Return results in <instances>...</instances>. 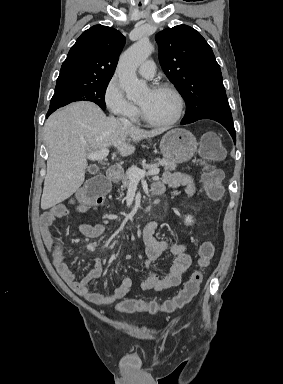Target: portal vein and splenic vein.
I'll return each mask as SVG.
<instances>
[{
    "instance_id": "18ae733b",
    "label": "portal vein and splenic vein",
    "mask_w": 283,
    "mask_h": 384,
    "mask_svg": "<svg viewBox=\"0 0 283 384\" xmlns=\"http://www.w3.org/2000/svg\"><path fill=\"white\" fill-rule=\"evenodd\" d=\"M109 154L108 148H103V150H97V152H91V154H87L88 160H104V158H107ZM160 170L158 168H153V170H139V168H130L128 174L131 182H139V180H142V178H145V176H158Z\"/></svg>"
}]
</instances>
